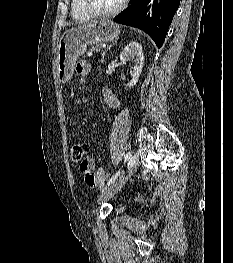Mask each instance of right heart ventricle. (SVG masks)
<instances>
[{
	"label": "right heart ventricle",
	"instance_id": "1",
	"mask_svg": "<svg viewBox=\"0 0 233 263\" xmlns=\"http://www.w3.org/2000/svg\"><path fill=\"white\" fill-rule=\"evenodd\" d=\"M71 14L76 21L84 22L91 19V17L83 10L80 0H72Z\"/></svg>",
	"mask_w": 233,
	"mask_h": 263
}]
</instances>
